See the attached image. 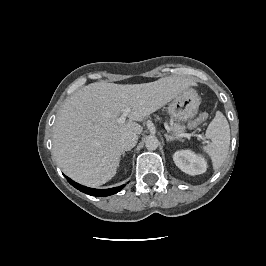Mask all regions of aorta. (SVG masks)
<instances>
[{"label":"aorta","instance_id":"obj_1","mask_svg":"<svg viewBox=\"0 0 266 266\" xmlns=\"http://www.w3.org/2000/svg\"><path fill=\"white\" fill-rule=\"evenodd\" d=\"M159 145V141L156 137H148L145 141V146L148 150H155Z\"/></svg>","mask_w":266,"mask_h":266}]
</instances>
